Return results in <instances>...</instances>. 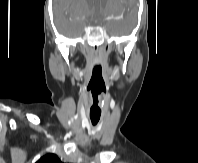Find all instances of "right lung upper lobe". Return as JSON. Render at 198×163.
I'll list each match as a JSON object with an SVG mask.
<instances>
[{
	"instance_id": "right-lung-upper-lobe-1",
	"label": "right lung upper lobe",
	"mask_w": 198,
	"mask_h": 163,
	"mask_svg": "<svg viewBox=\"0 0 198 163\" xmlns=\"http://www.w3.org/2000/svg\"><path fill=\"white\" fill-rule=\"evenodd\" d=\"M36 163H62L57 155L48 153L41 157Z\"/></svg>"
}]
</instances>
